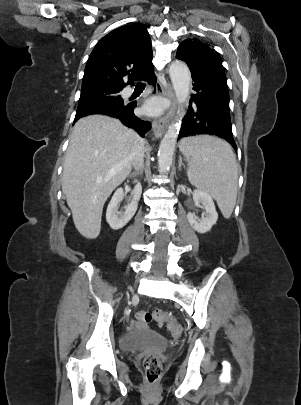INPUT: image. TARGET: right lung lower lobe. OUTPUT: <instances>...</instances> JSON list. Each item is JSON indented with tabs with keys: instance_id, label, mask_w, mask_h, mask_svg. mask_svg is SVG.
Segmentation results:
<instances>
[{
	"instance_id": "1",
	"label": "right lung lower lobe",
	"mask_w": 301,
	"mask_h": 405,
	"mask_svg": "<svg viewBox=\"0 0 301 405\" xmlns=\"http://www.w3.org/2000/svg\"><path fill=\"white\" fill-rule=\"evenodd\" d=\"M142 79H146L150 84L155 85L156 82V77L154 74V69L150 70L145 74V76ZM136 104L131 103V104H125L122 106H108V107H100L96 109H92L90 111L77 114L75 116V120H78L79 118L91 114H102V115H107L110 117H115L118 118L122 121V123L128 127L133 128L136 130L141 136H145V133L150 130L151 128V123L148 121H143L140 120L138 117L134 115V108Z\"/></svg>"
}]
</instances>
